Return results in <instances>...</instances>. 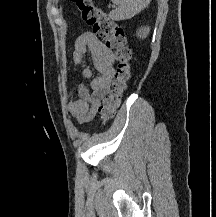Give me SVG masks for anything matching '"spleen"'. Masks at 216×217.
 <instances>
[{
	"label": "spleen",
	"mask_w": 216,
	"mask_h": 217,
	"mask_svg": "<svg viewBox=\"0 0 216 217\" xmlns=\"http://www.w3.org/2000/svg\"><path fill=\"white\" fill-rule=\"evenodd\" d=\"M118 7L109 13V17L116 21L130 19L146 8L151 0H111Z\"/></svg>",
	"instance_id": "1"
}]
</instances>
